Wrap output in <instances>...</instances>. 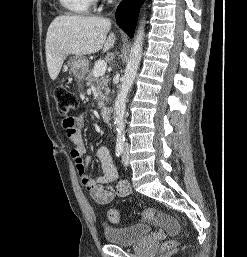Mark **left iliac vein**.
Here are the masks:
<instances>
[{"mask_svg": "<svg viewBox=\"0 0 247 257\" xmlns=\"http://www.w3.org/2000/svg\"><path fill=\"white\" fill-rule=\"evenodd\" d=\"M122 164L124 166L129 165V151H128L127 147L124 149V152H123V155H122Z\"/></svg>", "mask_w": 247, "mask_h": 257, "instance_id": "1", "label": "left iliac vein"}]
</instances>
